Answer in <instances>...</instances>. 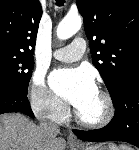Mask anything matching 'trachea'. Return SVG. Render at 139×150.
I'll return each instance as SVG.
<instances>
[{"label":"trachea","mask_w":139,"mask_h":150,"mask_svg":"<svg viewBox=\"0 0 139 150\" xmlns=\"http://www.w3.org/2000/svg\"><path fill=\"white\" fill-rule=\"evenodd\" d=\"M57 6H62L65 3V0H56Z\"/></svg>","instance_id":"obj_1"}]
</instances>
